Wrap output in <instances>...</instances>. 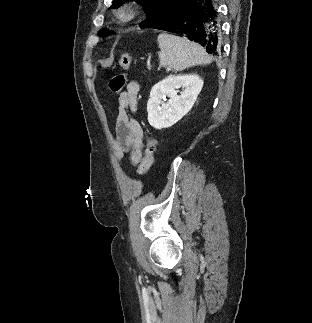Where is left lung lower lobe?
Here are the masks:
<instances>
[{
    "label": "left lung lower lobe",
    "instance_id": "obj_1",
    "mask_svg": "<svg viewBox=\"0 0 312 323\" xmlns=\"http://www.w3.org/2000/svg\"><path fill=\"white\" fill-rule=\"evenodd\" d=\"M170 9L166 18L153 29L186 36L211 55L219 56L221 24L216 0H175Z\"/></svg>",
    "mask_w": 312,
    "mask_h": 323
}]
</instances>
